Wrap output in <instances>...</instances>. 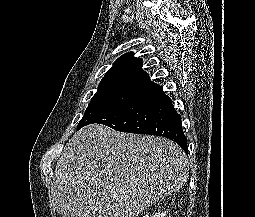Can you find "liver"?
<instances>
[{"label": "liver", "mask_w": 255, "mask_h": 217, "mask_svg": "<svg viewBox=\"0 0 255 217\" xmlns=\"http://www.w3.org/2000/svg\"><path fill=\"white\" fill-rule=\"evenodd\" d=\"M188 175V158L171 140L92 124L64 147L51 201L61 217H137Z\"/></svg>", "instance_id": "liver-1"}]
</instances>
